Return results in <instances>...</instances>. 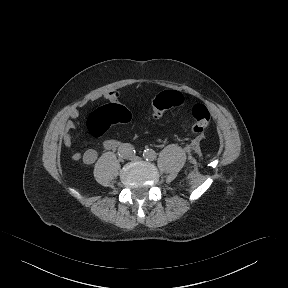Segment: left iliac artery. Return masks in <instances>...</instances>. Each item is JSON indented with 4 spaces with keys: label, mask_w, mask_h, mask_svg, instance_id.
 Instances as JSON below:
<instances>
[{
    "label": "left iliac artery",
    "mask_w": 288,
    "mask_h": 288,
    "mask_svg": "<svg viewBox=\"0 0 288 288\" xmlns=\"http://www.w3.org/2000/svg\"><path fill=\"white\" fill-rule=\"evenodd\" d=\"M143 157L144 159H146L147 161H153L156 159V153L154 150L152 149H146L143 152Z\"/></svg>",
    "instance_id": "1"
}]
</instances>
